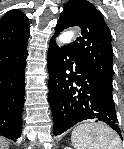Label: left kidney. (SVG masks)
Listing matches in <instances>:
<instances>
[{
	"label": "left kidney",
	"instance_id": "1",
	"mask_svg": "<svg viewBox=\"0 0 124 149\" xmlns=\"http://www.w3.org/2000/svg\"><path fill=\"white\" fill-rule=\"evenodd\" d=\"M65 149H71L70 147H66Z\"/></svg>",
	"mask_w": 124,
	"mask_h": 149
}]
</instances>
